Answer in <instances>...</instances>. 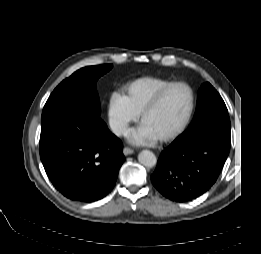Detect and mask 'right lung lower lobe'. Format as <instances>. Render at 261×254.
<instances>
[{"label":"right lung lower lobe","instance_id":"obj_1","mask_svg":"<svg viewBox=\"0 0 261 254\" xmlns=\"http://www.w3.org/2000/svg\"><path fill=\"white\" fill-rule=\"evenodd\" d=\"M122 142L99 118L75 104L44 106L40 157L53 185L67 198L92 202L114 187Z\"/></svg>","mask_w":261,"mask_h":254}]
</instances>
